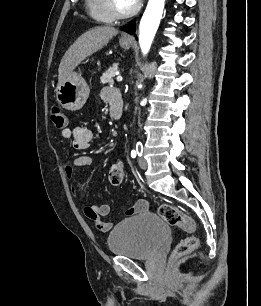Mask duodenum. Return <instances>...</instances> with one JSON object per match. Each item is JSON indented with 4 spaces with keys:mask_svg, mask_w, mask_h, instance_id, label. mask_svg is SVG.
<instances>
[{
    "mask_svg": "<svg viewBox=\"0 0 261 306\" xmlns=\"http://www.w3.org/2000/svg\"><path fill=\"white\" fill-rule=\"evenodd\" d=\"M110 113L114 119H119L122 115V104L120 102H114L111 105Z\"/></svg>",
    "mask_w": 261,
    "mask_h": 306,
    "instance_id": "obj_1",
    "label": "duodenum"
}]
</instances>
